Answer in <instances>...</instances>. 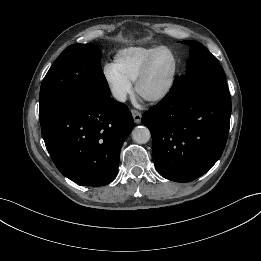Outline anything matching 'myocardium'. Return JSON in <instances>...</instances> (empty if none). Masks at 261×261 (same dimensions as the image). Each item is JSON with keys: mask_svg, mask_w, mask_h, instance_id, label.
<instances>
[{"mask_svg": "<svg viewBox=\"0 0 261 261\" xmlns=\"http://www.w3.org/2000/svg\"><path fill=\"white\" fill-rule=\"evenodd\" d=\"M164 50L170 52L173 56L174 65H173V70H172L171 76H170L167 84L161 90H159L158 92L151 94V95H143L141 93V86L149 74L153 60L159 52L164 51ZM178 70H179V60H178V57H177L176 53L174 52V50L167 46H159L146 60L145 64L143 65L141 71L139 72V74L135 80L136 93L139 96H141L143 99H145L146 101L151 102V103H158V102L163 101L164 99H166L168 97V95L171 93V91L174 88V85H175V82L177 79V75H178Z\"/></svg>", "mask_w": 261, "mask_h": 261, "instance_id": "1", "label": "myocardium"}]
</instances>
